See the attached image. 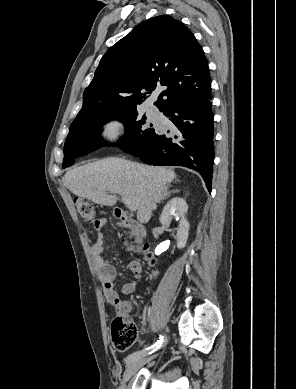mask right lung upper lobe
Here are the masks:
<instances>
[{
    "instance_id": "right-lung-upper-lobe-1",
    "label": "right lung upper lobe",
    "mask_w": 296,
    "mask_h": 389,
    "mask_svg": "<svg viewBox=\"0 0 296 389\" xmlns=\"http://www.w3.org/2000/svg\"><path fill=\"white\" fill-rule=\"evenodd\" d=\"M159 85L165 89L155 105L165 113L211 92L202 47L182 22L167 15L139 25L105 53L76 118L93 110L136 107Z\"/></svg>"
}]
</instances>
